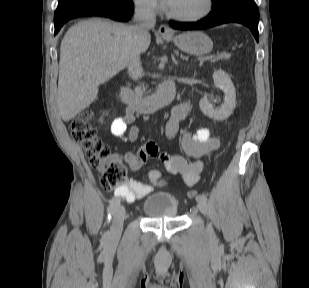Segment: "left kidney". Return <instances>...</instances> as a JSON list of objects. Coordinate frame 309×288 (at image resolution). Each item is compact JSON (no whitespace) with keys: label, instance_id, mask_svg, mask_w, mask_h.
<instances>
[{"label":"left kidney","instance_id":"left-kidney-1","mask_svg":"<svg viewBox=\"0 0 309 288\" xmlns=\"http://www.w3.org/2000/svg\"><path fill=\"white\" fill-rule=\"evenodd\" d=\"M214 85L220 88L224 94V103L220 108L214 109L213 105L208 101V97H203L199 102L201 111L210 118L218 121L226 120L233 112L236 106L235 87L229 75L223 70H216L213 73Z\"/></svg>","mask_w":309,"mask_h":288}]
</instances>
